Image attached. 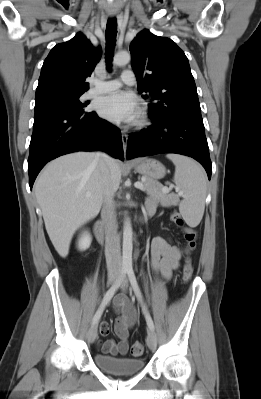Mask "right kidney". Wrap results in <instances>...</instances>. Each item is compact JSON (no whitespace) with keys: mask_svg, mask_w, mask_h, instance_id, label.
I'll list each match as a JSON object with an SVG mask.
<instances>
[{"mask_svg":"<svg viewBox=\"0 0 261 399\" xmlns=\"http://www.w3.org/2000/svg\"><path fill=\"white\" fill-rule=\"evenodd\" d=\"M91 241V235L87 231H84L78 240V248L80 250H86L89 248Z\"/></svg>","mask_w":261,"mask_h":399,"instance_id":"1","label":"right kidney"}]
</instances>
